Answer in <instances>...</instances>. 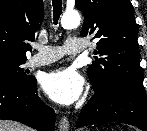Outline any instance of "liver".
Returning <instances> with one entry per match:
<instances>
[{"label":"liver","mask_w":147,"mask_h":131,"mask_svg":"<svg viewBox=\"0 0 147 131\" xmlns=\"http://www.w3.org/2000/svg\"><path fill=\"white\" fill-rule=\"evenodd\" d=\"M0 131H32V130L18 122L0 120Z\"/></svg>","instance_id":"liver-1"}]
</instances>
